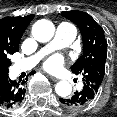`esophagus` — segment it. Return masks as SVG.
<instances>
[{"instance_id":"34e87169","label":"esophagus","mask_w":117,"mask_h":117,"mask_svg":"<svg viewBox=\"0 0 117 117\" xmlns=\"http://www.w3.org/2000/svg\"><path fill=\"white\" fill-rule=\"evenodd\" d=\"M49 78H50L52 81H54V82L59 81V79H58V78H56V77H54V76H49Z\"/></svg>"}]
</instances>
